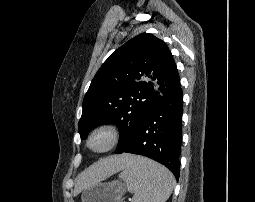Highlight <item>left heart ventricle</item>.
<instances>
[{"label": "left heart ventricle", "mask_w": 255, "mask_h": 202, "mask_svg": "<svg viewBox=\"0 0 255 202\" xmlns=\"http://www.w3.org/2000/svg\"><path fill=\"white\" fill-rule=\"evenodd\" d=\"M106 141H107L106 137L98 136V137L93 139L92 146L94 148H101L106 144Z\"/></svg>", "instance_id": "obj_1"}]
</instances>
